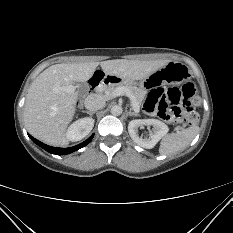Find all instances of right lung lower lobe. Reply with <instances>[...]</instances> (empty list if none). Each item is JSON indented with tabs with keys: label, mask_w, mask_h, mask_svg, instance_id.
Instances as JSON below:
<instances>
[{
	"label": "right lung lower lobe",
	"mask_w": 233,
	"mask_h": 233,
	"mask_svg": "<svg viewBox=\"0 0 233 233\" xmlns=\"http://www.w3.org/2000/svg\"><path fill=\"white\" fill-rule=\"evenodd\" d=\"M28 136L32 139V141L34 143H36L38 146L42 147L43 149H45L46 151H48L49 153L52 154H56V155H65V154H69L72 153L74 151H77L78 149L86 146L93 138L94 135H92L91 137H89L86 141H84L83 143L76 145L74 147H70V148H57V147H51L48 146L42 142H40L39 140L33 138L31 135L28 134Z\"/></svg>",
	"instance_id": "1"
}]
</instances>
